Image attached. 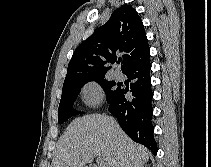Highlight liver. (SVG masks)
<instances>
[{"label":"liver","instance_id":"1","mask_svg":"<svg viewBox=\"0 0 211 167\" xmlns=\"http://www.w3.org/2000/svg\"><path fill=\"white\" fill-rule=\"evenodd\" d=\"M151 155L133 142L112 117L100 114L75 119L59 139L51 167H84L95 157L105 167H142Z\"/></svg>","mask_w":211,"mask_h":167}]
</instances>
